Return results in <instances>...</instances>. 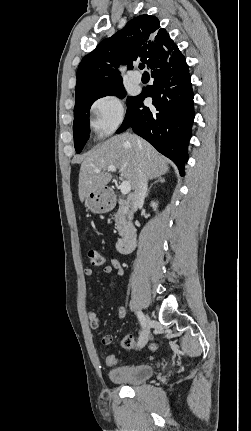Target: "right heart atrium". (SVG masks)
I'll list each match as a JSON object with an SVG mask.
<instances>
[{
    "label": "right heart atrium",
    "instance_id": "right-heart-atrium-1",
    "mask_svg": "<svg viewBox=\"0 0 251 431\" xmlns=\"http://www.w3.org/2000/svg\"><path fill=\"white\" fill-rule=\"evenodd\" d=\"M125 109L122 100L115 94H104L90 105V125L99 136L113 133L123 122Z\"/></svg>",
    "mask_w": 251,
    "mask_h": 431
}]
</instances>
